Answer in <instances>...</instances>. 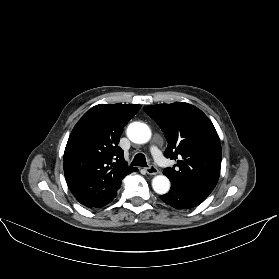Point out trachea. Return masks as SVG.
Returning a JSON list of instances; mask_svg holds the SVG:
<instances>
[{"label":"trachea","instance_id":"1","mask_svg":"<svg viewBox=\"0 0 279 279\" xmlns=\"http://www.w3.org/2000/svg\"><path fill=\"white\" fill-rule=\"evenodd\" d=\"M132 166H141V167H146V158L145 155L142 153H138L135 155L133 161L131 162Z\"/></svg>","mask_w":279,"mask_h":279}]
</instances>
